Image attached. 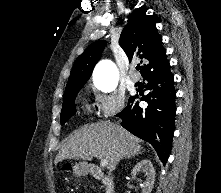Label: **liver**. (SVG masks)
Listing matches in <instances>:
<instances>
[{
	"label": "liver",
	"instance_id": "1",
	"mask_svg": "<svg viewBox=\"0 0 221 193\" xmlns=\"http://www.w3.org/2000/svg\"><path fill=\"white\" fill-rule=\"evenodd\" d=\"M140 140L122 127L110 122L86 124L64 143L55 164L65 159H105L110 171L122 158H131L141 151Z\"/></svg>",
	"mask_w": 221,
	"mask_h": 193
}]
</instances>
